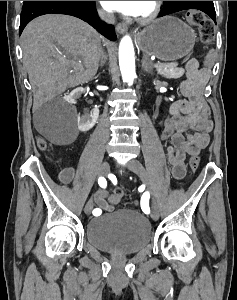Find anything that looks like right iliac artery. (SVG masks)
<instances>
[{"instance_id":"obj_1","label":"right iliac artery","mask_w":237,"mask_h":300,"mask_svg":"<svg viewBox=\"0 0 237 300\" xmlns=\"http://www.w3.org/2000/svg\"><path fill=\"white\" fill-rule=\"evenodd\" d=\"M98 184H99L100 187L106 188L107 181H106V179L104 177H99ZM98 211H100V209H98V208H96V209L93 210V212H98Z\"/></svg>"}]
</instances>
